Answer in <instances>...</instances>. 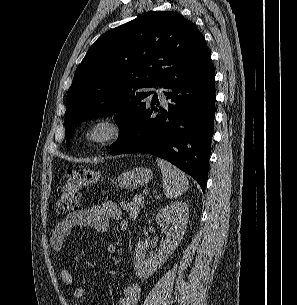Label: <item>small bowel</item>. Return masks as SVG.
I'll return each instance as SVG.
<instances>
[{"label": "small bowel", "instance_id": "c3829d8e", "mask_svg": "<svg viewBox=\"0 0 297 305\" xmlns=\"http://www.w3.org/2000/svg\"><path fill=\"white\" fill-rule=\"evenodd\" d=\"M121 220V211L118 206L112 202H105L101 205H92L90 207L81 209L79 211L69 214L64 220L60 221L54 228L51 234V245L55 252L60 255L65 254L66 240L76 226H89L98 232H105L108 230L112 221ZM105 250L108 254H113L116 250L111 243L105 245ZM62 282L72 287L73 296L76 299L84 297L85 290L81 286L74 285V279L69 267H64L60 271ZM140 285L133 281L129 283L120 299L118 305H136L140 297Z\"/></svg>", "mask_w": 297, "mask_h": 305}]
</instances>
